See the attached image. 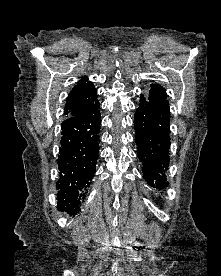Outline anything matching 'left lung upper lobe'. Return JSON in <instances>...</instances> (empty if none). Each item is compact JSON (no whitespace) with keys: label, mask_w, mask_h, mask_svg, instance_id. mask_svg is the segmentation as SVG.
<instances>
[{"label":"left lung upper lobe","mask_w":221,"mask_h":276,"mask_svg":"<svg viewBox=\"0 0 221 276\" xmlns=\"http://www.w3.org/2000/svg\"><path fill=\"white\" fill-rule=\"evenodd\" d=\"M147 98L153 104L169 110L167 94L161 86L152 84Z\"/></svg>","instance_id":"obj_1"}]
</instances>
